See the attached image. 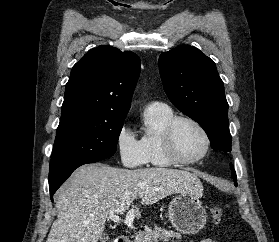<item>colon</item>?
<instances>
[{
    "mask_svg": "<svg viewBox=\"0 0 279 242\" xmlns=\"http://www.w3.org/2000/svg\"><path fill=\"white\" fill-rule=\"evenodd\" d=\"M210 218L215 225H220L223 220V210L219 206H213L210 210Z\"/></svg>",
    "mask_w": 279,
    "mask_h": 242,
    "instance_id": "colon-1",
    "label": "colon"
}]
</instances>
